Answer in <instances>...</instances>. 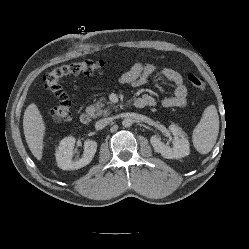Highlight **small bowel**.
<instances>
[{
    "label": "small bowel",
    "mask_w": 249,
    "mask_h": 249,
    "mask_svg": "<svg viewBox=\"0 0 249 249\" xmlns=\"http://www.w3.org/2000/svg\"><path fill=\"white\" fill-rule=\"evenodd\" d=\"M157 72L175 86L173 95L163 98L160 101V105L164 108H185L187 106V87L183 76L171 68L136 62L127 72L120 76L119 82L121 84L131 85L132 87H139L146 83L148 79ZM138 99L144 100V107L154 106L156 103L155 99L148 94Z\"/></svg>",
    "instance_id": "1"
}]
</instances>
